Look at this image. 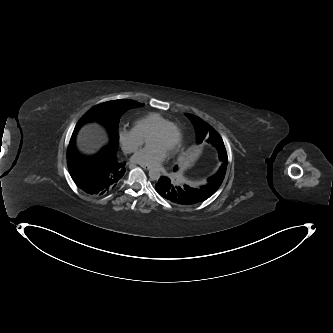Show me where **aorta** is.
<instances>
[{
	"instance_id": "obj_1",
	"label": "aorta",
	"mask_w": 333,
	"mask_h": 333,
	"mask_svg": "<svg viewBox=\"0 0 333 333\" xmlns=\"http://www.w3.org/2000/svg\"><path fill=\"white\" fill-rule=\"evenodd\" d=\"M161 174H160V171L157 170V169H151L149 170V177L152 179V180H158L160 178Z\"/></svg>"
}]
</instances>
